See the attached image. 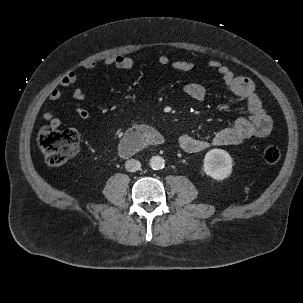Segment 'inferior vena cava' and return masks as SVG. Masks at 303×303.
<instances>
[{
  "label": "inferior vena cava",
  "instance_id": "inferior-vena-cava-1",
  "mask_svg": "<svg viewBox=\"0 0 303 303\" xmlns=\"http://www.w3.org/2000/svg\"><path fill=\"white\" fill-rule=\"evenodd\" d=\"M125 168L128 172H136L141 168V163L136 159H129L125 163Z\"/></svg>",
  "mask_w": 303,
  "mask_h": 303
}]
</instances>
